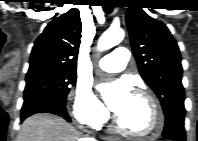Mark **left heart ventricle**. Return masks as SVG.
I'll list each match as a JSON object with an SVG mask.
<instances>
[{
	"label": "left heart ventricle",
	"instance_id": "1",
	"mask_svg": "<svg viewBox=\"0 0 198 141\" xmlns=\"http://www.w3.org/2000/svg\"><path fill=\"white\" fill-rule=\"evenodd\" d=\"M117 115L121 123L130 130L147 132L152 128L151 106L149 102L144 97L134 93Z\"/></svg>",
	"mask_w": 198,
	"mask_h": 141
}]
</instances>
